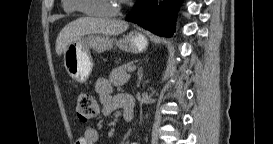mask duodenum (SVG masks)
<instances>
[{
  "label": "duodenum",
  "mask_w": 273,
  "mask_h": 144,
  "mask_svg": "<svg viewBox=\"0 0 273 144\" xmlns=\"http://www.w3.org/2000/svg\"><path fill=\"white\" fill-rule=\"evenodd\" d=\"M118 102L123 109V118L125 121H131L134 117L135 100L131 95L120 94Z\"/></svg>",
  "instance_id": "1"
}]
</instances>
